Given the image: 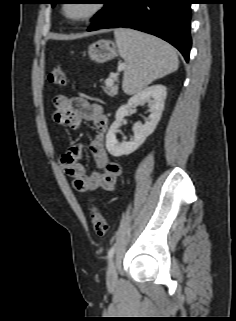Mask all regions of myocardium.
<instances>
[{"mask_svg": "<svg viewBox=\"0 0 236 321\" xmlns=\"http://www.w3.org/2000/svg\"><path fill=\"white\" fill-rule=\"evenodd\" d=\"M78 1H69L63 3L60 7L62 17L71 23H85L95 19L104 10V4L98 0L87 1V9L79 15H71L69 10Z\"/></svg>", "mask_w": 236, "mask_h": 321, "instance_id": "f54148a6", "label": "myocardium"}]
</instances>
